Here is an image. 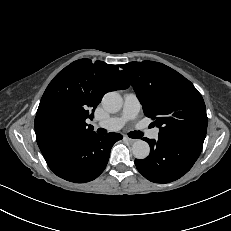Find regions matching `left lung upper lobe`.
<instances>
[{"instance_id":"1","label":"left lung upper lobe","mask_w":231,"mask_h":231,"mask_svg":"<svg viewBox=\"0 0 231 231\" xmlns=\"http://www.w3.org/2000/svg\"><path fill=\"white\" fill-rule=\"evenodd\" d=\"M121 67L144 114L160 128L159 135L190 134L205 138L208 123L205 103L189 80L153 61L130 62Z\"/></svg>"}]
</instances>
